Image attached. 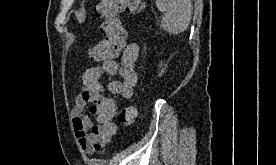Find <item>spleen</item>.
<instances>
[{"label":"spleen","mask_w":276,"mask_h":165,"mask_svg":"<svg viewBox=\"0 0 276 165\" xmlns=\"http://www.w3.org/2000/svg\"><path fill=\"white\" fill-rule=\"evenodd\" d=\"M156 6L163 13L161 27L169 34L186 31L192 16L191 0H156Z\"/></svg>","instance_id":"obj_1"}]
</instances>
